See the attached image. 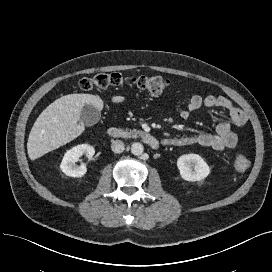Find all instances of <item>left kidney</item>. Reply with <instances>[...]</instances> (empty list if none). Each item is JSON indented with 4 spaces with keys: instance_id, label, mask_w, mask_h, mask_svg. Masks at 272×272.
Segmentation results:
<instances>
[{
    "instance_id": "obj_1",
    "label": "left kidney",
    "mask_w": 272,
    "mask_h": 272,
    "mask_svg": "<svg viewBox=\"0 0 272 272\" xmlns=\"http://www.w3.org/2000/svg\"><path fill=\"white\" fill-rule=\"evenodd\" d=\"M180 176L186 181H201L210 174V168L197 154H184L177 160Z\"/></svg>"
}]
</instances>
